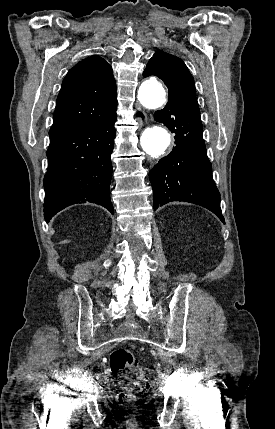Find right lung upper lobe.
<instances>
[{"label":"right lung upper lobe","mask_w":275,"mask_h":429,"mask_svg":"<svg viewBox=\"0 0 275 429\" xmlns=\"http://www.w3.org/2000/svg\"><path fill=\"white\" fill-rule=\"evenodd\" d=\"M117 93L113 70L99 56L88 57L64 78L49 136L59 135L116 115Z\"/></svg>","instance_id":"obj_1"}]
</instances>
